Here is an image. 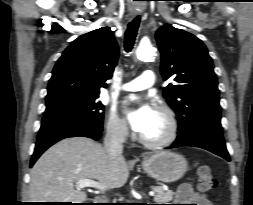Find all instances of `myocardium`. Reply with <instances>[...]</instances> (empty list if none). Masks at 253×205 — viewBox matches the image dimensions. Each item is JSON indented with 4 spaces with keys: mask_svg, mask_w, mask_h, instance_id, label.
Returning a JSON list of instances; mask_svg holds the SVG:
<instances>
[{
    "mask_svg": "<svg viewBox=\"0 0 253 205\" xmlns=\"http://www.w3.org/2000/svg\"><path fill=\"white\" fill-rule=\"evenodd\" d=\"M156 110L161 112L167 121L168 130L166 135L159 139H148L142 135L139 136V141L142 144L153 148L163 147L171 144L177 138L179 132L177 115L170 106L166 104H159L156 106Z\"/></svg>",
    "mask_w": 253,
    "mask_h": 205,
    "instance_id": "myocardium-1",
    "label": "myocardium"
}]
</instances>
